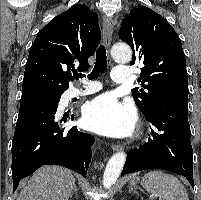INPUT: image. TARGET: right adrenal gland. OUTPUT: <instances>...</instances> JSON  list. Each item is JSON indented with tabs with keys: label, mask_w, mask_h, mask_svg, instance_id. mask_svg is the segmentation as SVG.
Masks as SVG:
<instances>
[{
	"label": "right adrenal gland",
	"mask_w": 201,
	"mask_h": 200,
	"mask_svg": "<svg viewBox=\"0 0 201 200\" xmlns=\"http://www.w3.org/2000/svg\"><path fill=\"white\" fill-rule=\"evenodd\" d=\"M74 193H77V187H76V185L74 186V189H73V191H72V193H71V196H70V197H72Z\"/></svg>",
	"instance_id": "2a0ac1e0"
}]
</instances>
